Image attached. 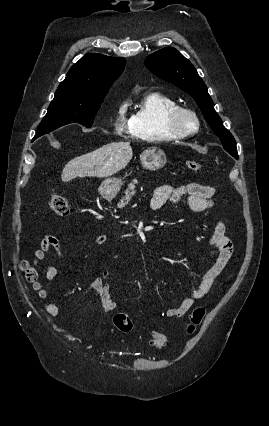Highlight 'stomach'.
<instances>
[{
    "label": "stomach",
    "instance_id": "1",
    "mask_svg": "<svg viewBox=\"0 0 269 426\" xmlns=\"http://www.w3.org/2000/svg\"><path fill=\"white\" fill-rule=\"evenodd\" d=\"M141 164L148 170H158L166 163L165 153L158 148H150L140 155ZM122 180L118 178H108L104 180L100 187V194L107 199L114 198L122 187Z\"/></svg>",
    "mask_w": 269,
    "mask_h": 426
}]
</instances>
